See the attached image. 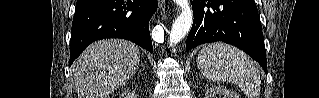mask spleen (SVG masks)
<instances>
[{"mask_svg":"<svg viewBox=\"0 0 319 98\" xmlns=\"http://www.w3.org/2000/svg\"><path fill=\"white\" fill-rule=\"evenodd\" d=\"M197 65L206 78L237 84L248 98L259 97V67L241 50L223 43L208 44L199 53Z\"/></svg>","mask_w":319,"mask_h":98,"instance_id":"obj_1","label":"spleen"}]
</instances>
